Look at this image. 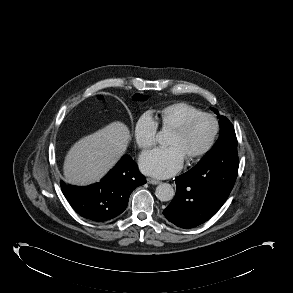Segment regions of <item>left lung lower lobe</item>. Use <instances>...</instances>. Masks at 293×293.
<instances>
[{
  "instance_id": "left-lung-lower-lobe-1",
  "label": "left lung lower lobe",
  "mask_w": 293,
  "mask_h": 293,
  "mask_svg": "<svg viewBox=\"0 0 293 293\" xmlns=\"http://www.w3.org/2000/svg\"><path fill=\"white\" fill-rule=\"evenodd\" d=\"M238 166L239 159L234 156L216 166H195L176 177V196L164 209V216L186 229L210 219L227 200L237 178Z\"/></svg>"
}]
</instances>
